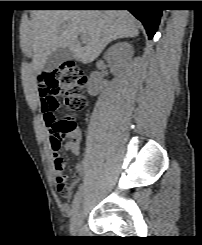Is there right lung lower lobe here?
<instances>
[{
  "label": "right lung lower lobe",
  "mask_w": 202,
  "mask_h": 245,
  "mask_svg": "<svg viewBox=\"0 0 202 245\" xmlns=\"http://www.w3.org/2000/svg\"><path fill=\"white\" fill-rule=\"evenodd\" d=\"M123 2V3H118ZM82 7H127L138 20L144 25L148 38L152 39L157 31L162 9L156 1H79Z\"/></svg>",
  "instance_id": "1"
}]
</instances>
